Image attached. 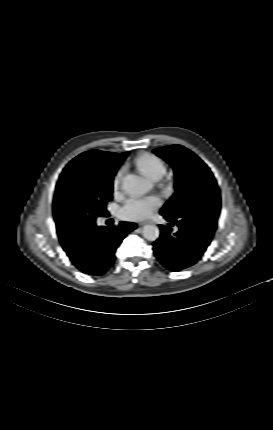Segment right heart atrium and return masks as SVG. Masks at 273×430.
I'll return each instance as SVG.
<instances>
[{
    "label": "right heart atrium",
    "instance_id": "1",
    "mask_svg": "<svg viewBox=\"0 0 273 430\" xmlns=\"http://www.w3.org/2000/svg\"><path fill=\"white\" fill-rule=\"evenodd\" d=\"M124 170L120 169L114 177L113 180V188L115 191H118L121 188L122 185V178H123Z\"/></svg>",
    "mask_w": 273,
    "mask_h": 430
}]
</instances>
